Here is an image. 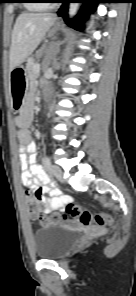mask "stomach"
I'll return each instance as SVG.
<instances>
[{
	"mask_svg": "<svg viewBox=\"0 0 136 296\" xmlns=\"http://www.w3.org/2000/svg\"><path fill=\"white\" fill-rule=\"evenodd\" d=\"M26 74L27 69H21L20 66L12 69V84H27ZM11 90L13 111H22L24 101L30 100L29 96H25V90H29V85H11Z\"/></svg>",
	"mask_w": 136,
	"mask_h": 296,
	"instance_id": "stomach-1",
	"label": "stomach"
}]
</instances>
